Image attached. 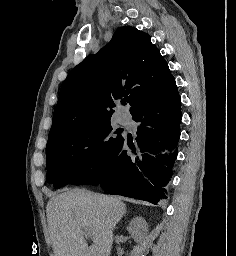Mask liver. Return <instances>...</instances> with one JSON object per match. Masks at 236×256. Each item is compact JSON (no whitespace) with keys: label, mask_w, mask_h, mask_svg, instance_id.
Returning <instances> with one entry per match:
<instances>
[{"label":"liver","mask_w":236,"mask_h":256,"mask_svg":"<svg viewBox=\"0 0 236 256\" xmlns=\"http://www.w3.org/2000/svg\"><path fill=\"white\" fill-rule=\"evenodd\" d=\"M61 192L51 196L46 208L54 256H110L113 230L126 212L125 204L116 196L78 188ZM82 228H90L92 246Z\"/></svg>","instance_id":"1"}]
</instances>
